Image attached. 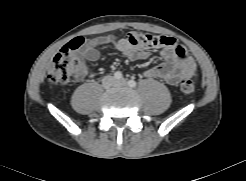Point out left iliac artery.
<instances>
[{"label": "left iliac artery", "instance_id": "left-iliac-artery-1", "mask_svg": "<svg viewBox=\"0 0 246 181\" xmlns=\"http://www.w3.org/2000/svg\"><path fill=\"white\" fill-rule=\"evenodd\" d=\"M137 83L134 80H129L128 81V86L130 87H136Z\"/></svg>", "mask_w": 246, "mask_h": 181}]
</instances>
